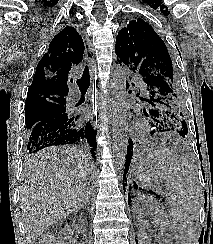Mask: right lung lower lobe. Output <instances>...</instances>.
Listing matches in <instances>:
<instances>
[{
    "instance_id": "obj_1",
    "label": "right lung lower lobe",
    "mask_w": 213,
    "mask_h": 244,
    "mask_svg": "<svg viewBox=\"0 0 213 244\" xmlns=\"http://www.w3.org/2000/svg\"><path fill=\"white\" fill-rule=\"evenodd\" d=\"M78 118L76 114L62 113L38 122L26 135L27 153L33 154L49 146L73 144L86 138L95 156L96 132L90 121L80 125Z\"/></svg>"
}]
</instances>
